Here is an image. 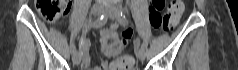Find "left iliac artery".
I'll return each mask as SVG.
<instances>
[{
  "label": "left iliac artery",
  "instance_id": "obj_1",
  "mask_svg": "<svg viewBox=\"0 0 238 70\" xmlns=\"http://www.w3.org/2000/svg\"><path fill=\"white\" fill-rule=\"evenodd\" d=\"M118 21L123 26L128 25V20H127L125 14L123 13L122 8H121L120 5L118 6ZM148 44H149L148 41H143L140 44L141 49L144 50V51H147L148 50Z\"/></svg>",
  "mask_w": 238,
  "mask_h": 70
}]
</instances>
